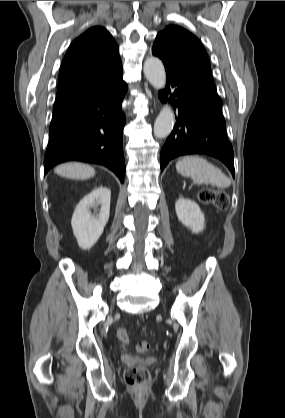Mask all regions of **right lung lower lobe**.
Returning a JSON list of instances; mask_svg holds the SVG:
<instances>
[{
  "instance_id": "98d812e1",
  "label": "right lung lower lobe",
  "mask_w": 285,
  "mask_h": 418,
  "mask_svg": "<svg viewBox=\"0 0 285 418\" xmlns=\"http://www.w3.org/2000/svg\"><path fill=\"white\" fill-rule=\"evenodd\" d=\"M127 85L120 77L105 88L60 110L53 111L44 174L66 161L103 165L124 182L121 104Z\"/></svg>"
}]
</instances>
